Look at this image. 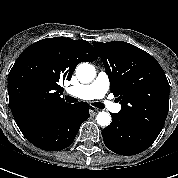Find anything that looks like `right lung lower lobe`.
I'll return each mask as SVG.
<instances>
[{
  "label": "right lung lower lobe",
  "mask_w": 178,
  "mask_h": 178,
  "mask_svg": "<svg viewBox=\"0 0 178 178\" xmlns=\"http://www.w3.org/2000/svg\"><path fill=\"white\" fill-rule=\"evenodd\" d=\"M89 117V105L80 102L36 116L18 127L36 147L46 151H60L72 144L81 124Z\"/></svg>",
  "instance_id": "right-lung-lower-lobe-1"
}]
</instances>
